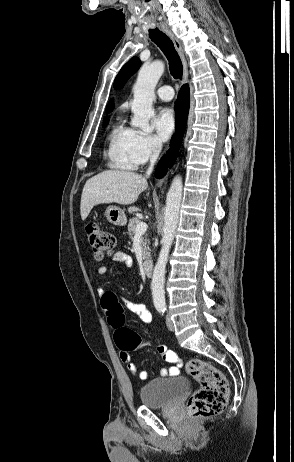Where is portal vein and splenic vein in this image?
Returning a JSON list of instances; mask_svg holds the SVG:
<instances>
[{"instance_id":"portal-vein-and-splenic-vein-1","label":"portal vein and splenic vein","mask_w":294,"mask_h":462,"mask_svg":"<svg viewBox=\"0 0 294 462\" xmlns=\"http://www.w3.org/2000/svg\"><path fill=\"white\" fill-rule=\"evenodd\" d=\"M147 230V224L145 222H139L136 226V235H142Z\"/></svg>"}]
</instances>
